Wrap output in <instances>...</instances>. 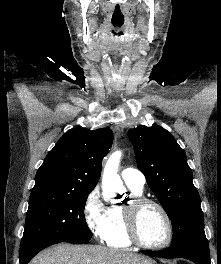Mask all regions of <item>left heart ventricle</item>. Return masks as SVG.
<instances>
[{
    "label": "left heart ventricle",
    "mask_w": 221,
    "mask_h": 264,
    "mask_svg": "<svg viewBox=\"0 0 221 264\" xmlns=\"http://www.w3.org/2000/svg\"><path fill=\"white\" fill-rule=\"evenodd\" d=\"M138 231L141 239L152 245L163 243L168 234L167 224L163 215L152 205H147L140 211Z\"/></svg>",
    "instance_id": "left-heart-ventricle-1"
}]
</instances>
